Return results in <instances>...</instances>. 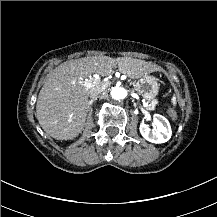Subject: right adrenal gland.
Wrapping results in <instances>:
<instances>
[{"label":"right adrenal gland","instance_id":"1","mask_svg":"<svg viewBox=\"0 0 217 217\" xmlns=\"http://www.w3.org/2000/svg\"><path fill=\"white\" fill-rule=\"evenodd\" d=\"M95 101H96V98L89 100L87 108L90 109L92 107L93 102H95Z\"/></svg>","mask_w":217,"mask_h":217}]
</instances>
